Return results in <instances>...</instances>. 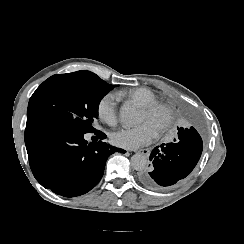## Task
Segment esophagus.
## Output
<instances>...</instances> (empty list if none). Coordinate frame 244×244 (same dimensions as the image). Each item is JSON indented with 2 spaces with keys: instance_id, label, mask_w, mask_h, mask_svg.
<instances>
[{
  "instance_id": "obj_1",
  "label": "esophagus",
  "mask_w": 244,
  "mask_h": 244,
  "mask_svg": "<svg viewBox=\"0 0 244 244\" xmlns=\"http://www.w3.org/2000/svg\"><path fill=\"white\" fill-rule=\"evenodd\" d=\"M135 153L142 154L144 156H148L150 154V149L145 148V149L135 150Z\"/></svg>"
}]
</instances>
